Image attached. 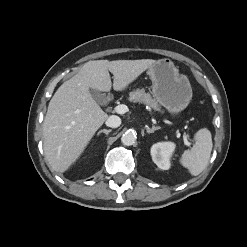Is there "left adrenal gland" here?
Masks as SVG:
<instances>
[{
    "instance_id": "a2214340",
    "label": "left adrenal gland",
    "mask_w": 247,
    "mask_h": 247,
    "mask_svg": "<svg viewBox=\"0 0 247 247\" xmlns=\"http://www.w3.org/2000/svg\"><path fill=\"white\" fill-rule=\"evenodd\" d=\"M160 129V127H156V126H152V128H149L148 126L146 127V132L148 133V134H150V133H153L154 131H156V130H159Z\"/></svg>"
}]
</instances>
